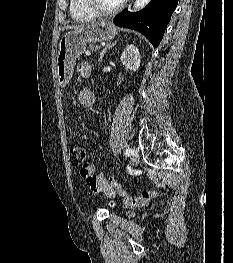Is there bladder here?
<instances>
[{"label": "bladder", "instance_id": "1", "mask_svg": "<svg viewBox=\"0 0 233 263\" xmlns=\"http://www.w3.org/2000/svg\"><path fill=\"white\" fill-rule=\"evenodd\" d=\"M127 216H129V217L132 216V213H127Z\"/></svg>", "mask_w": 233, "mask_h": 263}]
</instances>
